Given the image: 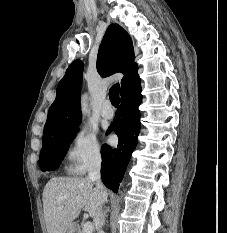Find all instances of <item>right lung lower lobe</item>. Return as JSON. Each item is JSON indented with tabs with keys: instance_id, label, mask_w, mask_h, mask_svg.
Returning a JSON list of instances; mask_svg holds the SVG:
<instances>
[{
	"instance_id": "obj_1",
	"label": "right lung lower lobe",
	"mask_w": 227,
	"mask_h": 233,
	"mask_svg": "<svg viewBox=\"0 0 227 233\" xmlns=\"http://www.w3.org/2000/svg\"><path fill=\"white\" fill-rule=\"evenodd\" d=\"M142 102L141 86L121 97V106L107 134L112 130L119 137L116 149L105 145L102 148L101 178L106 187L118 192L119 183L137 145L141 128L139 104Z\"/></svg>"
}]
</instances>
